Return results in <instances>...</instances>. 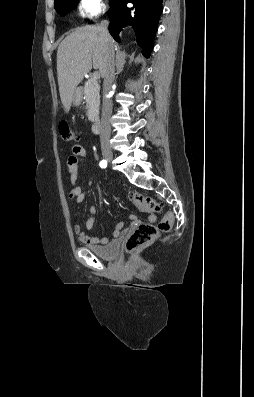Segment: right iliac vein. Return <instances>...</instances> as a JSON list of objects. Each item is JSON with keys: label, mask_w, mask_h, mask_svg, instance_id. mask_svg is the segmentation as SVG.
<instances>
[{"label": "right iliac vein", "mask_w": 254, "mask_h": 397, "mask_svg": "<svg viewBox=\"0 0 254 397\" xmlns=\"http://www.w3.org/2000/svg\"><path fill=\"white\" fill-rule=\"evenodd\" d=\"M103 157L105 158L106 161L111 162L113 159V155L110 152H104Z\"/></svg>", "instance_id": "obj_1"}]
</instances>
